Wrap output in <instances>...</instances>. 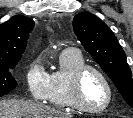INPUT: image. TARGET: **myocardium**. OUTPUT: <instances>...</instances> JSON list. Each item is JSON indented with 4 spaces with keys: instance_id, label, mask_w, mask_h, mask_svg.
<instances>
[{
    "instance_id": "1",
    "label": "myocardium",
    "mask_w": 133,
    "mask_h": 118,
    "mask_svg": "<svg viewBox=\"0 0 133 118\" xmlns=\"http://www.w3.org/2000/svg\"><path fill=\"white\" fill-rule=\"evenodd\" d=\"M89 71H93L96 74H98L101 77V79L104 81V84L107 88V93H108L107 100L102 106L98 108H92L86 105L82 97L83 78L85 74ZM70 94L75 107L81 111H84L90 114H99L106 111L110 107L114 97L113 87L108 76L100 68L90 64H85L76 70V72L74 73L71 79Z\"/></svg>"
}]
</instances>
